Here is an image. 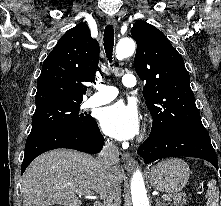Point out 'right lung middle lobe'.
<instances>
[{
	"instance_id": "dd1d6c3e",
	"label": "right lung middle lobe",
	"mask_w": 221,
	"mask_h": 206,
	"mask_svg": "<svg viewBox=\"0 0 221 206\" xmlns=\"http://www.w3.org/2000/svg\"><path fill=\"white\" fill-rule=\"evenodd\" d=\"M79 103H52L36 107L31 132L50 128L85 127L94 122L86 113H79Z\"/></svg>"
}]
</instances>
